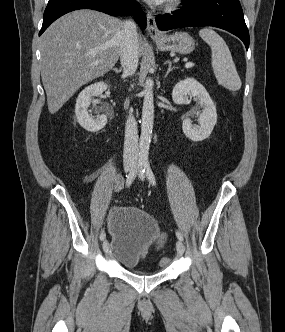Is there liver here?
Masks as SVG:
<instances>
[{"label":"liver","instance_id":"liver-1","mask_svg":"<svg viewBox=\"0 0 285 332\" xmlns=\"http://www.w3.org/2000/svg\"><path fill=\"white\" fill-rule=\"evenodd\" d=\"M124 21L84 9L57 19L41 37V77L55 114L84 84L103 76L121 54ZM145 41L138 35V55Z\"/></svg>","mask_w":285,"mask_h":332}]
</instances>
